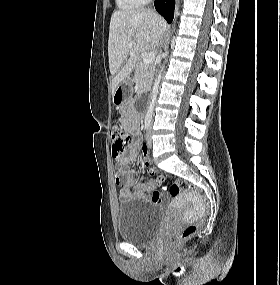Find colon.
Listing matches in <instances>:
<instances>
[{"label": "colon", "instance_id": "colon-1", "mask_svg": "<svg viewBox=\"0 0 280 285\" xmlns=\"http://www.w3.org/2000/svg\"><path fill=\"white\" fill-rule=\"evenodd\" d=\"M111 138L113 142L112 152L115 158L120 159L125 151V149L130 146L131 144V136L119 125H114L111 128ZM148 153V150L144 149L143 154L144 156ZM152 174V173H151ZM155 183L157 186L161 187L165 191H167L171 196L176 197L182 194L183 192L189 191L193 192L200 196L203 205L205 208L208 206V201L205 196H203L197 186L176 181L169 183L165 181L162 177H155ZM197 231L196 224H187L185 225L180 232L175 234L173 237L170 238L169 243L171 245H176L187 238L191 237Z\"/></svg>", "mask_w": 280, "mask_h": 285}]
</instances>
